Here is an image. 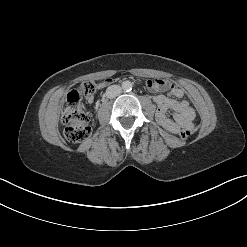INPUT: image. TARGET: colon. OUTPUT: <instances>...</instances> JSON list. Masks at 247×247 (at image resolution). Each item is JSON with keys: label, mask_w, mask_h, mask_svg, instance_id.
Masks as SVG:
<instances>
[{"label": "colon", "mask_w": 247, "mask_h": 247, "mask_svg": "<svg viewBox=\"0 0 247 247\" xmlns=\"http://www.w3.org/2000/svg\"><path fill=\"white\" fill-rule=\"evenodd\" d=\"M98 86L93 81H85L77 90L69 92L62 105V123L64 124V137L67 141L77 143L86 140L91 135L89 117L81 106L82 96L93 95ZM191 131L182 128L179 132L181 138H187Z\"/></svg>", "instance_id": "colon-1"}]
</instances>
